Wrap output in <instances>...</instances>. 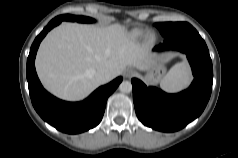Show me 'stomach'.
I'll use <instances>...</instances> for the list:
<instances>
[{
    "label": "stomach",
    "mask_w": 238,
    "mask_h": 158,
    "mask_svg": "<svg viewBox=\"0 0 238 158\" xmlns=\"http://www.w3.org/2000/svg\"><path fill=\"white\" fill-rule=\"evenodd\" d=\"M166 57H159L147 66L146 74L144 76V80L149 84H157L160 82L165 74L166 67L165 64L167 62Z\"/></svg>",
    "instance_id": "0dacf381"
}]
</instances>
